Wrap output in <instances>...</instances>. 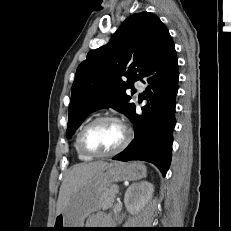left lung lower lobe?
<instances>
[{"instance_id": "obj_1", "label": "left lung lower lobe", "mask_w": 231, "mask_h": 231, "mask_svg": "<svg viewBox=\"0 0 231 231\" xmlns=\"http://www.w3.org/2000/svg\"><path fill=\"white\" fill-rule=\"evenodd\" d=\"M143 78L150 84L145 93L151 99L152 116L143 118L134 110L130 117L134 123V140L113 159L148 161L165 175L171 162L172 131L176 124L175 97L179 80L177 56L170 34L165 38ZM147 109L148 105L142 108L144 114Z\"/></svg>"}]
</instances>
